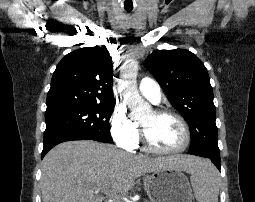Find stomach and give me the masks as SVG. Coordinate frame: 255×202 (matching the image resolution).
Listing matches in <instances>:
<instances>
[{"label": "stomach", "instance_id": "stomach-1", "mask_svg": "<svg viewBox=\"0 0 255 202\" xmlns=\"http://www.w3.org/2000/svg\"><path fill=\"white\" fill-rule=\"evenodd\" d=\"M150 186H144L151 202H192L193 194L181 170L164 169L152 173Z\"/></svg>", "mask_w": 255, "mask_h": 202}]
</instances>
